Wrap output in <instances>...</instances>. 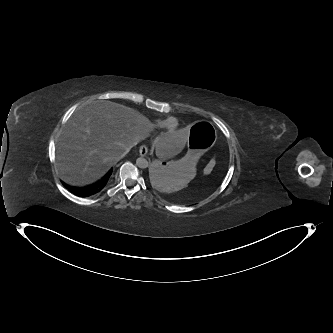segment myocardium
<instances>
[{
    "label": "myocardium",
    "instance_id": "f54148a6",
    "mask_svg": "<svg viewBox=\"0 0 333 333\" xmlns=\"http://www.w3.org/2000/svg\"><path fill=\"white\" fill-rule=\"evenodd\" d=\"M171 123H174L173 122V118H169L167 121H166V124L164 126V129H165V132L167 135H172L173 133L176 132L177 130V127L175 126H171Z\"/></svg>",
    "mask_w": 333,
    "mask_h": 333
}]
</instances>
